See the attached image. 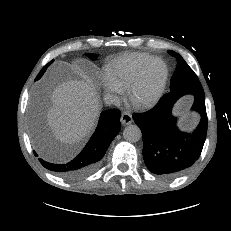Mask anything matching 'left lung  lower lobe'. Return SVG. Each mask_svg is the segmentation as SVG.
<instances>
[{"instance_id": "1", "label": "left lung lower lobe", "mask_w": 231, "mask_h": 231, "mask_svg": "<svg viewBox=\"0 0 231 231\" xmlns=\"http://www.w3.org/2000/svg\"><path fill=\"white\" fill-rule=\"evenodd\" d=\"M194 96L191 110L201 116L193 134L179 131L172 107L182 96ZM142 131L143 158L147 168L154 174L176 177L198 160L207 134V114L202 85L186 87L165 94L159 103L143 114H133Z\"/></svg>"}]
</instances>
